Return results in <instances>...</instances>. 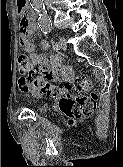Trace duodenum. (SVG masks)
<instances>
[{"label": "duodenum", "mask_w": 123, "mask_h": 167, "mask_svg": "<svg viewBox=\"0 0 123 167\" xmlns=\"http://www.w3.org/2000/svg\"><path fill=\"white\" fill-rule=\"evenodd\" d=\"M30 15H31V17L34 19V14H33L32 12H30Z\"/></svg>", "instance_id": "410a0bca"}]
</instances>
